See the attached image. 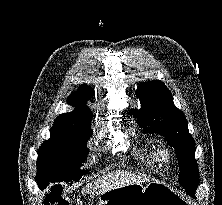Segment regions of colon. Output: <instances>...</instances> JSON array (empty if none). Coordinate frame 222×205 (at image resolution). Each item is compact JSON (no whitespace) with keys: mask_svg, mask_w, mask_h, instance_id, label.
I'll return each instance as SVG.
<instances>
[{"mask_svg":"<svg viewBox=\"0 0 222 205\" xmlns=\"http://www.w3.org/2000/svg\"><path fill=\"white\" fill-rule=\"evenodd\" d=\"M43 205H70L68 199L64 198L61 190L57 187L48 191L43 199Z\"/></svg>","mask_w":222,"mask_h":205,"instance_id":"1","label":"colon"}]
</instances>
